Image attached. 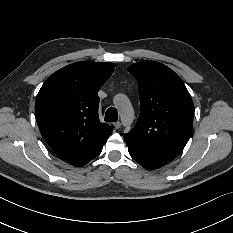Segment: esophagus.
<instances>
[{
    "label": "esophagus",
    "mask_w": 233,
    "mask_h": 233,
    "mask_svg": "<svg viewBox=\"0 0 233 233\" xmlns=\"http://www.w3.org/2000/svg\"><path fill=\"white\" fill-rule=\"evenodd\" d=\"M113 126L115 127V129H119L121 127V122H114Z\"/></svg>",
    "instance_id": "esophagus-1"
}]
</instances>
